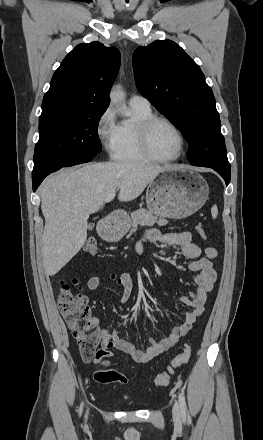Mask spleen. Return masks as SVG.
I'll use <instances>...</instances> for the list:
<instances>
[{
    "instance_id": "spleen-1",
    "label": "spleen",
    "mask_w": 263,
    "mask_h": 440,
    "mask_svg": "<svg viewBox=\"0 0 263 440\" xmlns=\"http://www.w3.org/2000/svg\"><path fill=\"white\" fill-rule=\"evenodd\" d=\"M211 214H212L213 219H216V218H217V215H218V208H217L216 205H214V206L211 208Z\"/></svg>"
}]
</instances>
